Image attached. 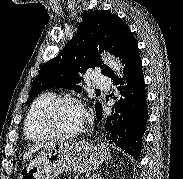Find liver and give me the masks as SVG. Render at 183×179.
<instances>
[{"mask_svg": "<svg viewBox=\"0 0 183 179\" xmlns=\"http://www.w3.org/2000/svg\"><path fill=\"white\" fill-rule=\"evenodd\" d=\"M48 144H38L30 148L24 153L23 161L28 160L34 153H36L39 149H42L43 147L47 146Z\"/></svg>", "mask_w": 183, "mask_h": 179, "instance_id": "1", "label": "liver"}]
</instances>
